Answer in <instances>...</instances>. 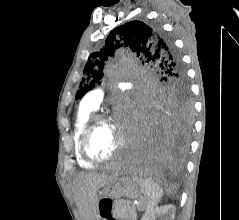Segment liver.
Returning <instances> with one entry per match:
<instances>
[{
    "instance_id": "6515ba94",
    "label": "liver",
    "mask_w": 239,
    "mask_h": 220,
    "mask_svg": "<svg viewBox=\"0 0 239 220\" xmlns=\"http://www.w3.org/2000/svg\"><path fill=\"white\" fill-rule=\"evenodd\" d=\"M119 170L118 167H115ZM115 175L88 173L80 175L74 182V199L82 220H94L98 212L97 192Z\"/></svg>"
}]
</instances>
